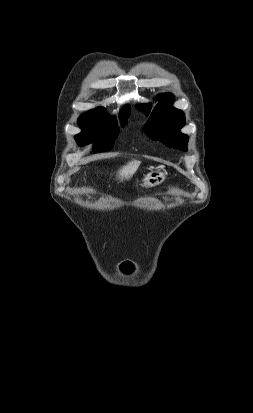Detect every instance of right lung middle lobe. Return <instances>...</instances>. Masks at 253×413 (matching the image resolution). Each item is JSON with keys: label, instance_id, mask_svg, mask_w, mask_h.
<instances>
[{"label": "right lung middle lobe", "instance_id": "1", "mask_svg": "<svg viewBox=\"0 0 253 413\" xmlns=\"http://www.w3.org/2000/svg\"><path fill=\"white\" fill-rule=\"evenodd\" d=\"M127 118L128 116L121 117L122 126L127 123ZM79 126L82 132L75 136V140L80 146L95 142L93 153L109 151L119 134L115 119L95 124H79Z\"/></svg>", "mask_w": 253, "mask_h": 413}]
</instances>
